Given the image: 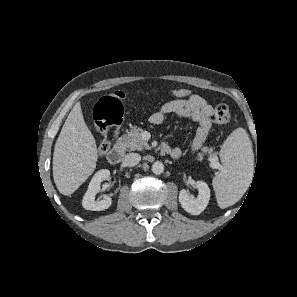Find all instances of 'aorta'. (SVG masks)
Wrapping results in <instances>:
<instances>
[{
  "instance_id": "1",
  "label": "aorta",
  "mask_w": 297,
  "mask_h": 297,
  "mask_svg": "<svg viewBox=\"0 0 297 297\" xmlns=\"http://www.w3.org/2000/svg\"><path fill=\"white\" fill-rule=\"evenodd\" d=\"M164 164L160 161H156L152 164V172L156 175L163 173Z\"/></svg>"
}]
</instances>
